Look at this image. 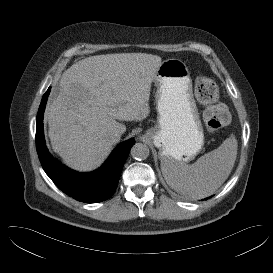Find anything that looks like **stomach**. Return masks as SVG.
Returning <instances> with one entry per match:
<instances>
[{"label": "stomach", "mask_w": 273, "mask_h": 273, "mask_svg": "<svg viewBox=\"0 0 273 273\" xmlns=\"http://www.w3.org/2000/svg\"><path fill=\"white\" fill-rule=\"evenodd\" d=\"M154 83L157 123L146 134L159 149L161 162L186 164L204 146L188 67L180 59H167L158 68Z\"/></svg>", "instance_id": "1"}]
</instances>
